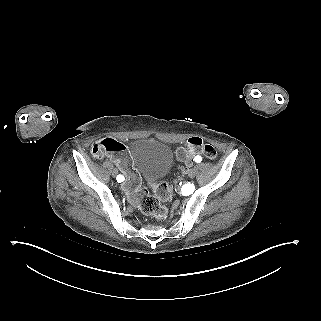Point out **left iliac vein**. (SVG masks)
I'll list each match as a JSON object with an SVG mask.
<instances>
[{
	"label": "left iliac vein",
	"mask_w": 321,
	"mask_h": 321,
	"mask_svg": "<svg viewBox=\"0 0 321 321\" xmlns=\"http://www.w3.org/2000/svg\"><path fill=\"white\" fill-rule=\"evenodd\" d=\"M196 175V170L194 168H191L189 171H188V176L190 178H194Z\"/></svg>",
	"instance_id": "left-iliac-vein-1"
}]
</instances>
